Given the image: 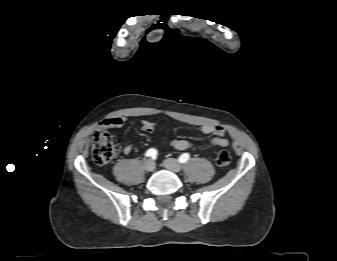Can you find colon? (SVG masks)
I'll return each mask as SVG.
<instances>
[{
	"label": "colon",
	"instance_id": "5ec220e1",
	"mask_svg": "<svg viewBox=\"0 0 337 261\" xmlns=\"http://www.w3.org/2000/svg\"><path fill=\"white\" fill-rule=\"evenodd\" d=\"M116 153V147L111 136L107 132L97 131L92 138V157L96 164L105 165L109 163ZM231 162L228 151L222 150L216 156V164L226 167Z\"/></svg>",
	"mask_w": 337,
	"mask_h": 261
}]
</instances>
